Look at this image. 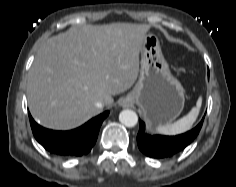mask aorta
Here are the masks:
<instances>
[{"instance_id":"obj_1","label":"aorta","mask_w":236,"mask_h":187,"mask_svg":"<svg viewBox=\"0 0 236 187\" xmlns=\"http://www.w3.org/2000/svg\"><path fill=\"white\" fill-rule=\"evenodd\" d=\"M119 121L126 127H134L138 122V116L133 110L125 109L120 112Z\"/></svg>"}]
</instances>
